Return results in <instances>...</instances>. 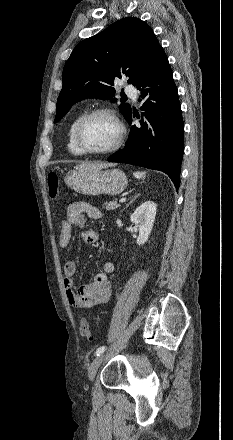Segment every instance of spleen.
<instances>
[{
  "mask_svg": "<svg viewBox=\"0 0 233 440\" xmlns=\"http://www.w3.org/2000/svg\"><path fill=\"white\" fill-rule=\"evenodd\" d=\"M134 177L138 178V179H144L146 177V172H134L133 173Z\"/></svg>",
  "mask_w": 233,
  "mask_h": 440,
  "instance_id": "obj_1",
  "label": "spleen"
}]
</instances>
